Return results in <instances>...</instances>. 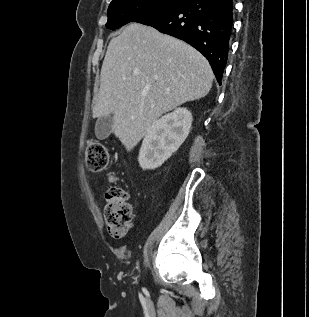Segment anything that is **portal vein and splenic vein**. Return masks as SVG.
<instances>
[{
    "instance_id": "obj_1",
    "label": "portal vein and splenic vein",
    "mask_w": 309,
    "mask_h": 317,
    "mask_svg": "<svg viewBox=\"0 0 309 317\" xmlns=\"http://www.w3.org/2000/svg\"><path fill=\"white\" fill-rule=\"evenodd\" d=\"M134 74L137 75V74H138V71H134Z\"/></svg>"
}]
</instances>
